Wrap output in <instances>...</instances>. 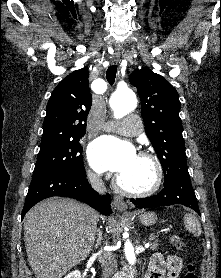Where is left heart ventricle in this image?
I'll return each instance as SVG.
<instances>
[{
  "mask_svg": "<svg viewBox=\"0 0 221 278\" xmlns=\"http://www.w3.org/2000/svg\"><path fill=\"white\" fill-rule=\"evenodd\" d=\"M118 177L126 188L145 190L152 186L155 180V168L149 159L136 155Z\"/></svg>",
  "mask_w": 221,
  "mask_h": 278,
  "instance_id": "obj_1",
  "label": "left heart ventricle"
}]
</instances>
